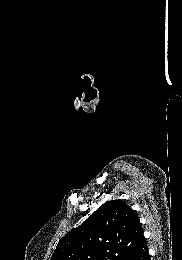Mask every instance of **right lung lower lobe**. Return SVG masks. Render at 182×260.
<instances>
[{
  "instance_id": "1",
  "label": "right lung lower lobe",
  "mask_w": 182,
  "mask_h": 260,
  "mask_svg": "<svg viewBox=\"0 0 182 260\" xmlns=\"http://www.w3.org/2000/svg\"><path fill=\"white\" fill-rule=\"evenodd\" d=\"M123 260H150L146 241L129 253Z\"/></svg>"
}]
</instances>
